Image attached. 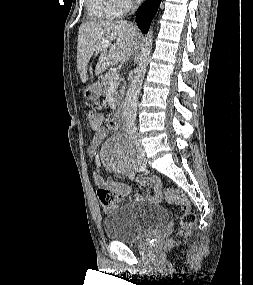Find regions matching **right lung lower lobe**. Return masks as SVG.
<instances>
[{
    "instance_id": "right-lung-lower-lobe-1",
    "label": "right lung lower lobe",
    "mask_w": 253,
    "mask_h": 285,
    "mask_svg": "<svg viewBox=\"0 0 253 285\" xmlns=\"http://www.w3.org/2000/svg\"><path fill=\"white\" fill-rule=\"evenodd\" d=\"M161 0H147L136 13V21L138 27L146 33L153 19L154 15L157 12V9L160 5Z\"/></svg>"
}]
</instances>
